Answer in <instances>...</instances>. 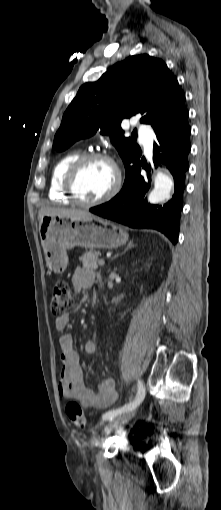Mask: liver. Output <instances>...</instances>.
Listing matches in <instances>:
<instances>
[{
  "mask_svg": "<svg viewBox=\"0 0 221 510\" xmlns=\"http://www.w3.org/2000/svg\"><path fill=\"white\" fill-rule=\"evenodd\" d=\"M45 215H60L72 219L94 217L91 213L85 210L67 209L58 207H43L39 210V222Z\"/></svg>",
  "mask_w": 221,
  "mask_h": 510,
  "instance_id": "obj_1",
  "label": "liver"
}]
</instances>
